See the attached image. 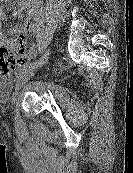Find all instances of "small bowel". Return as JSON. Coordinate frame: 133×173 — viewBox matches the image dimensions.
I'll list each match as a JSON object with an SVG mask.
<instances>
[{
	"mask_svg": "<svg viewBox=\"0 0 133 173\" xmlns=\"http://www.w3.org/2000/svg\"><path fill=\"white\" fill-rule=\"evenodd\" d=\"M42 0H22L19 5V11L17 15L21 17L22 11H27L28 18L22 26H15L10 30L11 34L20 36L23 40V46L25 47V37L33 34L36 31L37 24L40 19ZM3 13L0 12V20ZM8 39L0 34V46L8 44Z\"/></svg>",
	"mask_w": 133,
	"mask_h": 173,
	"instance_id": "c3829d8e",
	"label": "small bowel"
}]
</instances>
